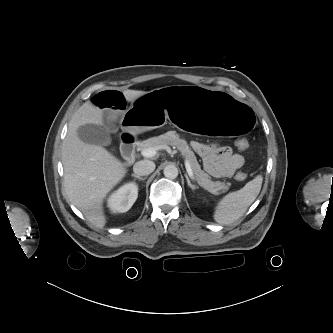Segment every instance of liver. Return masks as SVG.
<instances>
[{
  "instance_id": "obj_1",
  "label": "liver",
  "mask_w": 333,
  "mask_h": 333,
  "mask_svg": "<svg viewBox=\"0 0 333 333\" xmlns=\"http://www.w3.org/2000/svg\"><path fill=\"white\" fill-rule=\"evenodd\" d=\"M146 92L124 90L128 102H133ZM102 126L103 111L92 102L84 103L72 116L67 135L62 144L64 167V193L95 226L106 224L103 200L106 194L125 176V165L99 145L83 142L77 130L80 126Z\"/></svg>"
}]
</instances>
